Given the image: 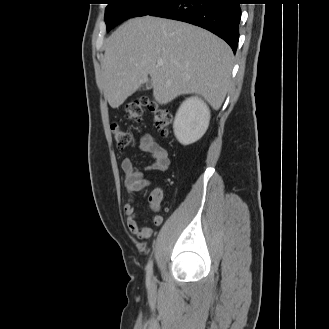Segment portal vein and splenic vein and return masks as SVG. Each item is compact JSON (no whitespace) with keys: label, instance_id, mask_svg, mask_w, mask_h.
<instances>
[{"label":"portal vein and splenic vein","instance_id":"1","mask_svg":"<svg viewBox=\"0 0 329 329\" xmlns=\"http://www.w3.org/2000/svg\"><path fill=\"white\" fill-rule=\"evenodd\" d=\"M157 64H158V66H162L163 65V62L162 61H158Z\"/></svg>","mask_w":329,"mask_h":329}]
</instances>
